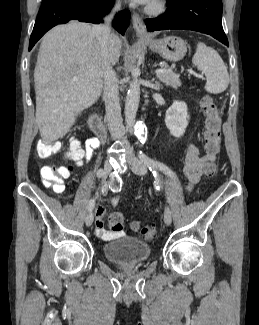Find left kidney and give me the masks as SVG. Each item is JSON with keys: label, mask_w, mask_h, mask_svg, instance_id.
I'll list each match as a JSON object with an SVG mask.
<instances>
[{"label": "left kidney", "mask_w": 259, "mask_h": 325, "mask_svg": "<svg viewBox=\"0 0 259 325\" xmlns=\"http://www.w3.org/2000/svg\"><path fill=\"white\" fill-rule=\"evenodd\" d=\"M188 109L183 101H174L172 106L166 111L165 124L170 134L176 138L184 135L188 126Z\"/></svg>", "instance_id": "obj_1"}]
</instances>
